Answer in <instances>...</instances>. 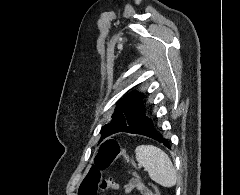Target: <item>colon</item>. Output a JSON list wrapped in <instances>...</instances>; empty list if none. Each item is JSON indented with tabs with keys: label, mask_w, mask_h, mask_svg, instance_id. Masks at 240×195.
Here are the masks:
<instances>
[{
	"label": "colon",
	"mask_w": 240,
	"mask_h": 195,
	"mask_svg": "<svg viewBox=\"0 0 240 195\" xmlns=\"http://www.w3.org/2000/svg\"><path fill=\"white\" fill-rule=\"evenodd\" d=\"M121 153V148L119 143L113 138L105 139L99 150L96 153L95 164L96 167L88 171L82 186L79 187V190L76 191L77 195H101L100 187L101 183L104 182L100 170H105L109 168L114 161L119 157L120 159H125L129 166H133L135 161L131 158L129 154L125 156ZM134 175L138 178L141 183L146 181V178L140 172V169L137 166L132 168ZM153 192L158 190L156 185L151 187Z\"/></svg>",
	"instance_id": "colon-1"
}]
</instances>
